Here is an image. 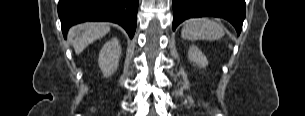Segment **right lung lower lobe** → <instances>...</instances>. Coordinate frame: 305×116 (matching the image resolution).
<instances>
[{
	"label": "right lung lower lobe",
	"mask_w": 305,
	"mask_h": 116,
	"mask_svg": "<svg viewBox=\"0 0 305 116\" xmlns=\"http://www.w3.org/2000/svg\"><path fill=\"white\" fill-rule=\"evenodd\" d=\"M138 0H59L58 14L66 38L68 29L85 21H110L121 25L130 38L136 29Z\"/></svg>",
	"instance_id": "obj_1"
}]
</instances>
